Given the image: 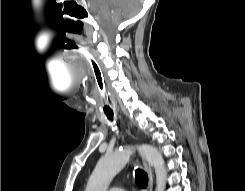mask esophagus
Returning <instances> with one entry per match:
<instances>
[{
  "label": "esophagus",
  "mask_w": 245,
  "mask_h": 191,
  "mask_svg": "<svg viewBox=\"0 0 245 191\" xmlns=\"http://www.w3.org/2000/svg\"><path fill=\"white\" fill-rule=\"evenodd\" d=\"M143 165L145 167V170L148 174V186H147V191H152L153 189V173H152V168L151 166L143 160Z\"/></svg>",
  "instance_id": "34e87169"
}]
</instances>
